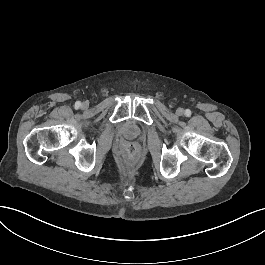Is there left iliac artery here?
<instances>
[{"label":"left iliac artery","mask_w":265,"mask_h":265,"mask_svg":"<svg viewBox=\"0 0 265 265\" xmlns=\"http://www.w3.org/2000/svg\"><path fill=\"white\" fill-rule=\"evenodd\" d=\"M185 115L189 117V116L191 115V111H190L189 109H187V110L185 111Z\"/></svg>","instance_id":"obj_1"}]
</instances>
